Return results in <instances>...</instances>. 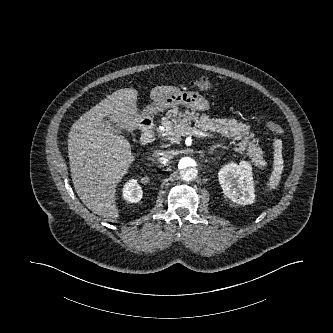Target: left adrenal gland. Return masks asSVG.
<instances>
[{
    "label": "left adrenal gland",
    "mask_w": 333,
    "mask_h": 333,
    "mask_svg": "<svg viewBox=\"0 0 333 333\" xmlns=\"http://www.w3.org/2000/svg\"><path fill=\"white\" fill-rule=\"evenodd\" d=\"M218 147H222L223 149H226L227 147L223 146V145H220V144H217V145H213L210 150H209V153L212 154L213 151L218 148Z\"/></svg>",
    "instance_id": "left-adrenal-gland-1"
}]
</instances>
